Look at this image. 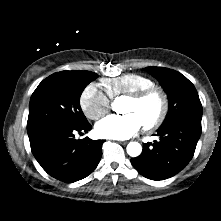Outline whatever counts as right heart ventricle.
Instances as JSON below:
<instances>
[{"label": "right heart ventricle", "mask_w": 221, "mask_h": 221, "mask_svg": "<svg viewBox=\"0 0 221 221\" xmlns=\"http://www.w3.org/2000/svg\"><path fill=\"white\" fill-rule=\"evenodd\" d=\"M153 85L154 82L151 78L138 73H127L102 80V86L110 98L128 95Z\"/></svg>", "instance_id": "1"}]
</instances>
